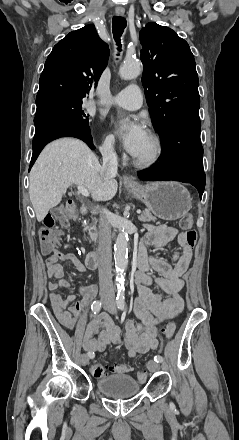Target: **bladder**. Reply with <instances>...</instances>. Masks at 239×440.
<instances>
[{
  "label": "bladder",
  "instance_id": "bladder-1",
  "mask_svg": "<svg viewBox=\"0 0 239 440\" xmlns=\"http://www.w3.org/2000/svg\"><path fill=\"white\" fill-rule=\"evenodd\" d=\"M96 387L100 393L112 398H128L140 391L138 381L125 374L101 377L96 381Z\"/></svg>",
  "mask_w": 239,
  "mask_h": 440
}]
</instances>
